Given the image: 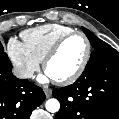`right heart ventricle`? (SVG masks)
Masks as SVG:
<instances>
[{
    "instance_id": "right-heart-ventricle-1",
    "label": "right heart ventricle",
    "mask_w": 119,
    "mask_h": 119,
    "mask_svg": "<svg viewBox=\"0 0 119 119\" xmlns=\"http://www.w3.org/2000/svg\"><path fill=\"white\" fill-rule=\"evenodd\" d=\"M74 29L61 24H46L21 33L29 51L39 60L43 61L51 47L64 35Z\"/></svg>"
}]
</instances>
